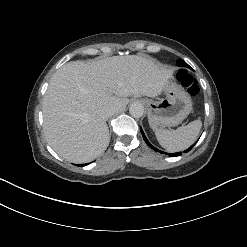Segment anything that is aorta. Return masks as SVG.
I'll return each mask as SVG.
<instances>
[{"label": "aorta", "instance_id": "aorta-1", "mask_svg": "<svg viewBox=\"0 0 247 247\" xmlns=\"http://www.w3.org/2000/svg\"><path fill=\"white\" fill-rule=\"evenodd\" d=\"M129 113L134 118H140L144 114V107L141 103H132L129 108Z\"/></svg>", "mask_w": 247, "mask_h": 247}]
</instances>
